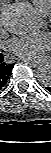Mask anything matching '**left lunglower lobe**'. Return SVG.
I'll use <instances>...</instances> for the list:
<instances>
[{"label": "left lung lower lobe", "mask_w": 51, "mask_h": 153, "mask_svg": "<svg viewBox=\"0 0 51 153\" xmlns=\"http://www.w3.org/2000/svg\"><path fill=\"white\" fill-rule=\"evenodd\" d=\"M47 90H49L51 92V86L46 87Z\"/></svg>", "instance_id": "1"}]
</instances>
